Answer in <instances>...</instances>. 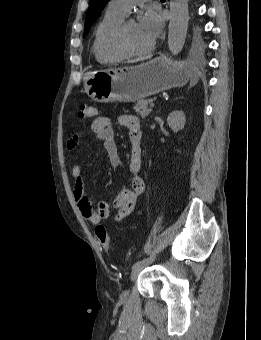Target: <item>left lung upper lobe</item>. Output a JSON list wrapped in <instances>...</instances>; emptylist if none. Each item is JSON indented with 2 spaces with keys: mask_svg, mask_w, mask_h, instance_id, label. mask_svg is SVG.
Here are the masks:
<instances>
[{
  "mask_svg": "<svg viewBox=\"0 0 261 340\" xmlns=\"http://www.w3.org/2000/svg\"><path fill=\"white\" fill-rule=\"evenodd\" d=\"M109 1L110 0H90L88 13H87V17H86V20H85V29H84L83 37H85L87 35L92 24L99 17L100 13L102 12V10L104 9V7L106 6V4ZM199 32H200L199 28L195 27L194 40H195L196 43L199 42Z\"/></svg>",
  "mask_w": 261,
  "mask_h": 340,
  "instance_id": "5c2ea615",
  "label": "left lung upper lobe"
}]
</instances>
